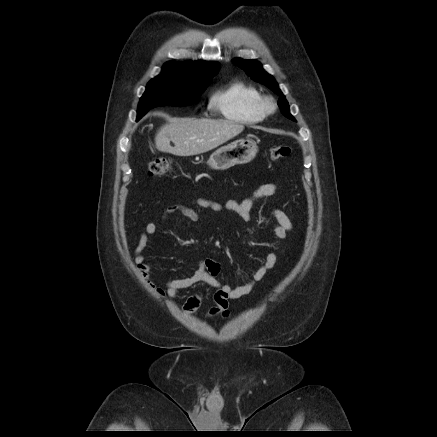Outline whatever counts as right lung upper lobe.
Listing matches in <instances>:
<instances>
[{
  "instance_id": "1",
  "label": "right lung upper lobe",
  "mask_w": 437,
  "mask_h": 437,
  "mask_svg": "<svg viewBox=\"0 0 437 437\" xmlns=\"http://www.w3.org/2000/svg\"><path fill=\"white\" fill-rule=\"evenodd\" d=\"M219 70L216 62H169L163 66L160 76L179 79L185 82H203L210 80Z\"/></svg>"
}]
</instances>
